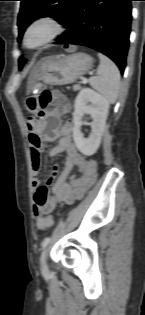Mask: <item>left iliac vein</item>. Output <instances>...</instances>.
Segmentation results:
<instances>
[{
	"mask_svg": "<svg viewBox=\"0 0 145 315\" xmlns=\"http://www.w3.org/2000/svg\"><path fill=\"white\" fill-rule=\"evenodd\" d=\"M46 257H47V249L43 250L40 256V268L42 272L48 271Z\"/></svg>",
	"mask_w": 145,
	"mask_h": 315,
	"instance_id": "left-iliac-vein-1",
	"label": "left iliac vein"
}]
</instances>
